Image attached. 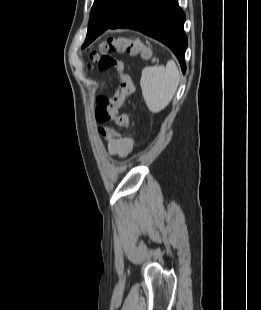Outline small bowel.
Here are the masks:
<instances>
[{
  "label": "small bowel",
  "mask_w": 261,
  "mask_h": 310,
  "mask_svg": "<svg viewBox=\"0 0 261 310\" xmlns=\"http://www.w3.org/2000/svg\"><path fill=\"white\" fill-rule=\"evenodd\" d=\"M132 144V140L129 138L109 137L108 149L111 154L123 157L130 153Z\"/></svg>",
  "instance_id": "small-bowel-1"
}]
</instances>
